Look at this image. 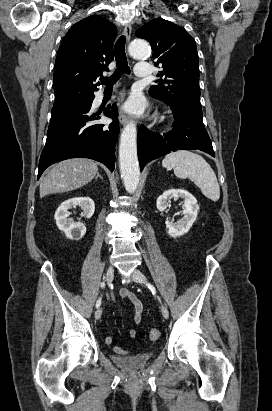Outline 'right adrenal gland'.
I'll list each match as a JSON object with an SVG mask.
<instances>
[{"instance_id":"right-adrenal-gland-1","label":"right adrenal gland","mask_w":272,"mask_h":411,"mask_svg":"<svg viewBox=\"0 0 272 411\" xmlns=\"http://www.w3.org/2000/svg\"><path fill=\"white\" fill-rule=\"evenodd\" d=\"M97 178H101L103 180V177L99 174V172L97 173L96 179Z\"/></svg>"}]
</instances>
